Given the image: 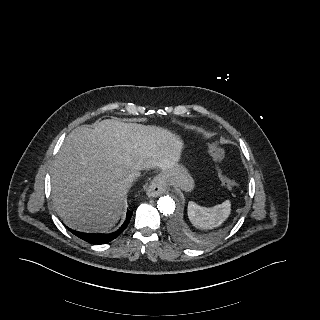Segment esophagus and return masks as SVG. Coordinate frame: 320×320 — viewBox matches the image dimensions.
Instances as JSON below:
<instances>
[{
    "instance_id": "obj_1",
    "label": "esophagus",
    "mask_w": 320,
    "mask_h": 320,
    "mask_svg": "<svg viewBox=\"0 0 320 320\" xmlns=\"http://www.w3.org/2000/svg\"><path fill=\"white\" fill-rule=\"evenodd\" d=\"M167 189V180L163 175H157L149 184L146 194L148 197H157Z\"/></svg>"
}]
</instances>
